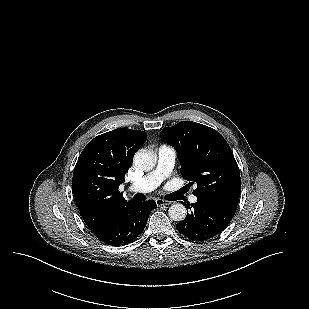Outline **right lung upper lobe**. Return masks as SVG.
I'll return each instance as SVG.
<instances>
[{"instance_id":"right-lung-upper-lobe-1","label":"right lung upper lobe","mask_w":309,"mask_h":309,"mask_svg":"<svg viewBox=\"0 0 309 309\" xmlns=\"http://www.w3.org/2000/svg\"><path fill=\"white\" fill-rule=\"evenodd\" d=\"M146 139L144 131L118 128L95 137L80 154L73 173V193L91 231L132 202L126 201L118 188Z\"/></svg>"}]
</instances>
